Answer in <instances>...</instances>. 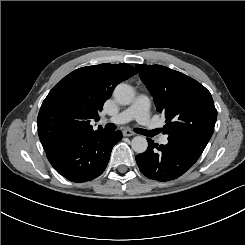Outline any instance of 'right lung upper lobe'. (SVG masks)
I'll use <instances>...</instances> for the list:
<instances>
[{"label": "right lung upper lobe", "mask_w": 245, "mask_h": 245, "mask_svg": "<svg viewBox=\"0 0 245 245\" xmlns=\"http://www.w3.org/2000/svg\"><path fill=\"white\" fill-rule=\"evenodd\" d=\"M137 74L128 64H100L79 68L57 83L42 103L38 114V133L45 151L59 142L89 135L91 120L117 84Z\"/></svg>", "instance_id": "cb5924a9"}]
</instances>
